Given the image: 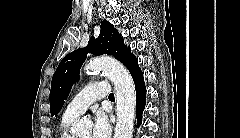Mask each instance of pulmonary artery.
Listing matches in <instances>:
<instances>
[{"label": "pulmonary artery", "instance_id": "e3ab8cb5", "mask_svg": "<svg viewBox=\"0 0 240 138\" xmlns=\"http://www.w3.org/2000/svg\"><path fill=\"white\" fill-rule=\"evenodd\" d=\"M109 85L105 81H94L80 91L67 105L64 115L76 117L102 97L109 96Z\"/></svg>", "mask_w": 240, "mask_h": 138}]
</instances>
